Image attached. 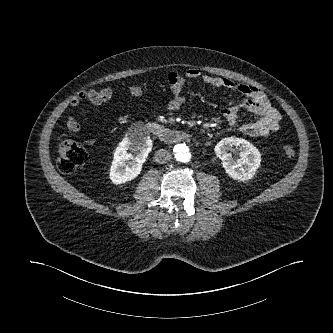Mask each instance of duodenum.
<instances>
[{"label": "duodenum", "mask_w": 333, "mask_h": 333, "mask_svg": "<svg viewBox=\"0 0 333 333\" xmlns=\"http://www.w3.org/2000/svg\"><path fill=\"white\" fill-rule=\"evenodd\" d=\"M147 131L152 136L167 144H173L181 141H190L192 139V136L188 133L173 130L158 123L148 124Z\"/></svg>", "instance_id": "410a0bca"}]
</instances>
